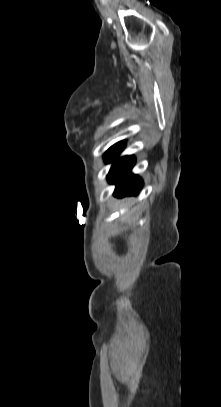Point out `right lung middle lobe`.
I'll list each match as a JSON object with an SVG mask.
<instances>
[{"mask_svg":"<svg viewBox=\"0 0 221 407\" xmlns=\"http://www.w3.org/2000/svg\"><path fill=\"white\" fill-rule=\"evenodd\" d=\"M125 146V142L121 141L113 145L109 148V150L105 153V162L109 163L113 161V159L119 155V153L123 150Z\"/></svg>","mask_w":221,"mask_h":407,"instance_id":"1","label":"right lung middle lobe"}]
</instances>
